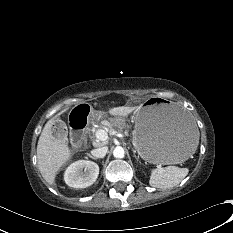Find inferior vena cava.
I'll return each mask as SVG.
<instances>
[{"label":"inferior vena cava","instance_id":"inferior-vena-cava-1","mask_svg":"<svg viewBox=\"0 0 233 233\" xmlns=\"http://www.w3.org/2000/svg\"><path fill=\"white\" fill-rule=\"evenodd\" d=\"M107 151H108V147L104 146V147H99V148L93 149L91 151V154L96 158H103V157H105Z\"/></svg>","mask_w":233,"mask_h":233}]
</instances>
